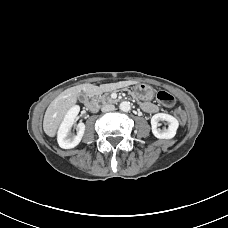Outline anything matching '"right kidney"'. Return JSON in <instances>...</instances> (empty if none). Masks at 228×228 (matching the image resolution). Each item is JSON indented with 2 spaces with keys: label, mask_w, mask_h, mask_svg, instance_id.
<instances>
[{
  "label": "right kidney",
  "mask_w": 228,
  "mask_h": 228,
  "mask_svg": "<svg viewBox=\"0 0 228 228\" xmlns=\"http://www.w3.org/2000/svg\"><path fill=\"white\" fill-rule=\"evenodd\" d=\"M79 111V106L75 105L71 107L60 125L57 141L59 146L63 149H71L76 147L84 135L85 124L82 122L76 125V134L71 132L72 127L75 125V118Z\"/></svg>",
  "instance_id": "obj_1"
}]
</instances>
